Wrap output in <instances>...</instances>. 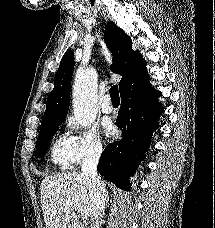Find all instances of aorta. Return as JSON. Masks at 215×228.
Here are the masks:
<instances>
[{
  "mask_svg": "<svg viewBox=\"0 0 215 228\" xmlns=\"http://www.w3.org/2000/svg\"><path fill=\"white\" fill-rule=\"evenodd\" d=\"M72 96L77 124L79 126H92L98 110L95 70L77 74Z\"/></svg>",
  "mask_w": 215,
  "mask_h": 228,
  "instance_id": "762f6f07",
  "label": "aorta"
}]
</instances>
